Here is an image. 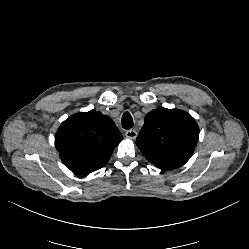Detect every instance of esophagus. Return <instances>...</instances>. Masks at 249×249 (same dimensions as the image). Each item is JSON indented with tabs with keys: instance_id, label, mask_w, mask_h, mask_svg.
Listing matches in <instances>:
<instances>
[{
	"instance_id": "1",
	"label": "esophagus",
	"mask_w": 249,
	"mask_h": 249,
	"mask_svg": "<svg viewBox=\"0 0 249 249\" xmlns=\"http://www.w3.org/2000/svg\"><path fill=\"white\" fill-rule=\"evenodd\" d=\"M137 135H138V133H137V131L134 130V129L127 130V131L125 132V136H126V138H128V139L134 140V139L137 137Z\"/></svg>"
}]
</instances>
